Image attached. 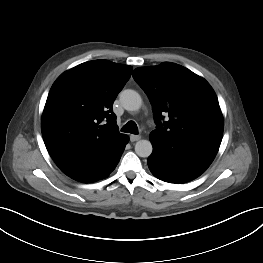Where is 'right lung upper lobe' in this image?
<instances>
[{"instance_id": "obj_1", "label": "right lung upper lobe", "mask_w": 263, "mask_h": 263, "mask_svg": "<svg viewBox=\"0 0 263 263\" xmlns=\"http://www.w3.org/2000/svg\"><path fill=\"white\" fill-rule=\"evenodd\" d=\"M132 67L107 60L82 63L61 74L49 92L41 122L46 148L60 169L117 148L112 106Z\"/></svg>"}]
</instances>
